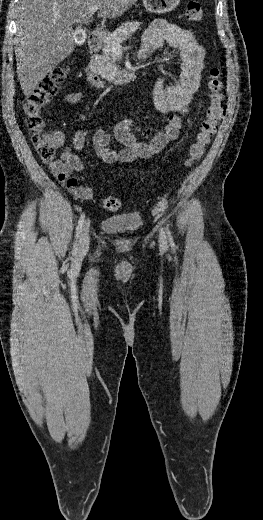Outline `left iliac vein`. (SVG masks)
<instances>
[{"mask_svg":"<svg viewBox=\"0 0 263 520\" xmlns=\"http://www.w3.org/2000/svg\"><path fill=\"white\" fill-rule=\"evenodd\" d=\"M159 241L162 245H164V246L167 245V238H166L165 232L163 230L160 231Z\"/></svg>","mask_w":263,"mask_h":520,"instance_id":"obj_1","label":"left iliac vein"}]
</instances>
